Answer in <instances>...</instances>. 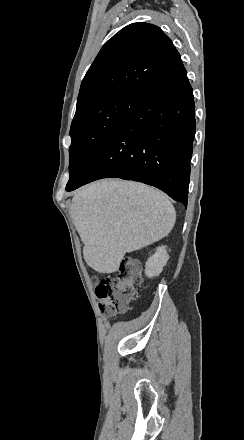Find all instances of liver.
Listing matches in <instances>:
<instances>
[{"mask_svg":"<svg viewBox=\"0 0 244 440\" xmlns=\"http://www.w3.org/2000/svg\"><path fill=\"white\" fill-rule=\"evenodd\" d=\"M71 216L84 244V260L99 274L117 272L126 252L159 242L176 220L166 194L118 178L80 188L72 200Z\"/></svg>","mask_w":244,"mask_h":440,"instance_id":"1","label":"liver"}]
</instances>
